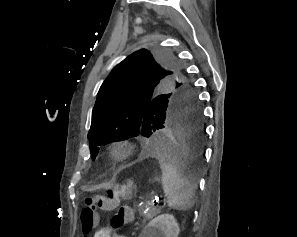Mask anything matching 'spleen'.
I'll use <instances>...</instances> for the list:
<instances>
[{"label": "spleen", "mask_w": 297, "mask_h": 237, "mask_svg": "<svg viewBox=\"0 0 297 237\" xmlns=\"http://www.w3.org/2000/svg\"><path fill=\"white\" fill-rule=\"evenodd\" d=\"M162 188L170 208L187 211L194 205L195 186L184 176L179 167H173L171 161L161 158Z\"/></svg>", "instance_id": "1"}]
</instances>
